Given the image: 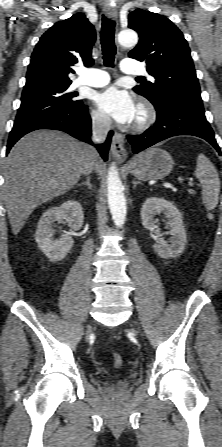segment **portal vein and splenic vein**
<instances>
[{
  "mask_svg": "<svg viewBox=\"0 0 222 447\" xmlns=\"http://www.w3.org/2000/svg\"><path fill=\"white\" fill-rule=\"evenodd\" d=\"M179 181L182 182V178H181V177L179 178ZM188 185H189L190 187H193V186H194V183L191 182V181H189V182H188Z\"/></svg>",
  "mask_w": 222,
  "mask_h": 447,
  "instance_id": "18ae733b",
  "label": "portal vein and splenic vein"
}]
</instances>
